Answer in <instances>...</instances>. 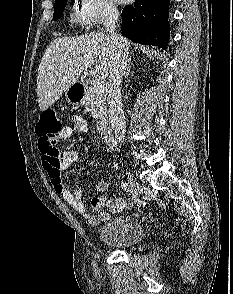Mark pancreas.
I'll list each match as a JSON object with an SVG mask.
<instances>
[{"label":"pancreas","mask_w":233,"mask_h":294,"mask_svg":"<svg viewBox=\"0 0 233 294\" xmlns=\"http://www.w3.org/2000/svg\"><path fill=\"white\" fill-rule=\"evenodd\" d=\"M82 103L86 106H93L98 110L100 129H105L108 124L106 120L107 110L105 107V94L96 93L92 87H89L85 91Z\"/></svg>","instance_id":"pancreas-1"}]
</instances>
